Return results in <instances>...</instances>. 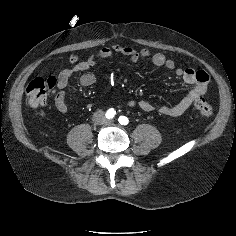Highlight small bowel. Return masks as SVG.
Masks as SVG:
<instances>
[{"mask_svg": "<svg viewBox=\"0 0 236 236\" xmlns=\"http://www.w3.org/2000/svg\"><path fill=\"white\" fill-rule=\"evenodd\" d=\"M114 54L127 56L131 61L138 62L141 59H151L152 63L159 67L174 70L175 75L180 77L185 83L193 85L188 94L174 105H163L156 107L146 100H126L125 104L129 107H137L144 112L157 113L168 117H178L187 113L192 103L207 92L209 76L205 71L195 69L177 68L173 60L166 58L162 53H151L148 48L137 50L130 46L112 45L103 48L99 52L90 55L86 60L77 63L71 68H66L59 73L57 79V92L54 97L56 109L61 113H66L68 106L66 103L67 85L69 80L77 72H84L79 83L83 87L92 86L96 83V76L89 72L90 67L96 64L101 58H109Z\"/></svg>", "mask_w": 236, "mask_h": 236, "instance_id": "c3829d8e", "label": "small bowel"}]
</instances>
